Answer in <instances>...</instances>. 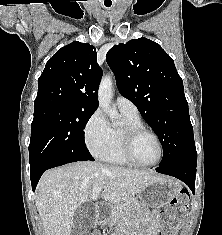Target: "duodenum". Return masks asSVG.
Segmentation results:
<instances>
[{"label": "duodenum", "instance_id": "410a0bca", "mask_svg": "<svg viewBox=\"0 0 222 235\" xmlns=\"http://www.w3.org/2000/svg\"><path fill=\"white\" fill-rule=\"evenodd\" d=\"M100 212H101V209H100V207L98 206L97 209H96L97 216H99Z\"/></svg>", "mask_w": 222, "mask_h": 235}]
</instances>
